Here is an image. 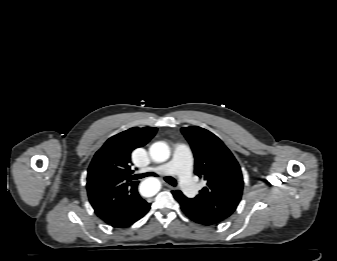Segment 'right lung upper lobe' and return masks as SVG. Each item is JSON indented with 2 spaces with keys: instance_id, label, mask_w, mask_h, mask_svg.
I'll return each mask as SVG.
<instances>
[{
  "instance_id": "obj_1",
  "label": "right lung upper lobe",
  "mask_w": 337,
  "mask_h": 261,
  "mask_svg": "<svg viewBox=\"0 0 337 261\" xmlns=\"http://www.w3.org/2000/svg\"><path fill=\"white\" fill-rule=\"evenodd\" d=\"M157 128H130L109 138L88 168L87 191L95 213L110 223L138 210L144 200L132 181L131 152L147 144ZM140 202V203H139Z\"/></svg>"
}]
</instances>
